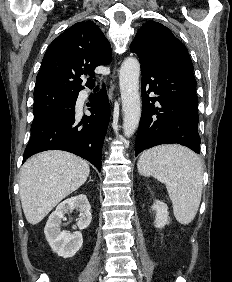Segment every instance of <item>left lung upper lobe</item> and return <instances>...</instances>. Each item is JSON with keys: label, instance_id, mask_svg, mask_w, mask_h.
Masks as SVG:
<instances>
[{"label": "left lung upper lobe", "instance_id": "obj_1", "mask_svg": "<svg viewBox=\"0 0 232 282\" xmlns=\"http://www.w3.org/2000/svg\"><path fill=\"white\" fill-rule=\"evenodd\" d=\"M141 66L149 68H185L193 71L187 48L161 23L146 22L130 45Z\"/></svg>", "mask_w": 232, "mask_h": 282}]
</instances>
